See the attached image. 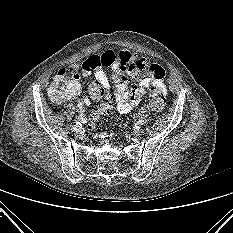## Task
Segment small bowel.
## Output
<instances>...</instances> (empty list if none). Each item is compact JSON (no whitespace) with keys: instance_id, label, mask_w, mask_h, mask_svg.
<instances>
[{"instance_id":"small-bowel-1","label":"small bowel","mask_w":233,"mask_h":233,"mask_svg":"<svg viewBox=\"0 0 233 233\" xmlns=\"http://www.w3.org/2000/svg\"><path fill=\"white\" fill-rule=\"evenodd\" d=\"M103 67H109L112 73V81L115 85L114 95L117 109L120 113H128L137 107L143 98L146 88L153 84L166 92L163 82L164 70L158 64L150 62L146 58H139L127 50H120L117 53L106 50L100 55H94L86 59L81 65L73 64L67 69H60L59 72H66L71 76L72 95L66 100L76 98L82 92L80 74L89 76L94 71L95 78L105 88H110L109 80L103 71ZM127 74L130 77L138 78V84H133L128 89ZM91 98L87 95L81 96L78 100L80 116H83L84 107L89 105Z\"/></svg>"}]
</instances>
